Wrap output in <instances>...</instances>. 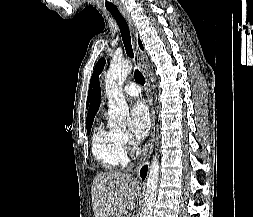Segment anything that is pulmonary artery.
I'll list each match as a JSON object with an SVG mask.
<instances>
[{"label": "pulmonary artery", "mask_w": 253, "mask_h": 217, "mask_svg": "<svg viewBox=\"0 0 253 217\" xmlns=\"http://www.w3.org/2000/svg\"><path fill=\"white\" fill-rule=\"evenodd\" d=\"M124 93L129 96H138L141 93L140 87L136 83H128L124 86Z\"/></svg>", "instance_id": "1"}]
</instances>
